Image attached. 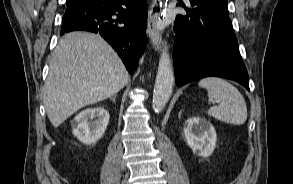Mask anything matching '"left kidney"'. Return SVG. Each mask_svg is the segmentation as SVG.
Masks as SVG:
<instances>
[{
	"label": "left kidney",
	"mask_w": 293,
	"mask_h": 184,
	"mask_svg": "<svg viewBox=\"0 0 293 184\" xmlns=\"http://www.w3.org/2000/svg\"><path fill=\"white\" fill-rule=\"evenodd\" d=\"M184 135L193 153L204 158L212 155L217 135L208 120L198 116L187 119L184 123Z\"/></svg>",
	"instance_id": "obj_1"
}]
</instances>
